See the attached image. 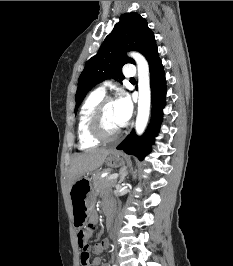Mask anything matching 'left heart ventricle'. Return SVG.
<instances>
[{"instance_id":"b2bd125f","label":"left heart ventricle","mask_w":233,"mask_h":266,"mask_svg":"<svg viewBox=\"0 0 233 266\" xmlns=\"http://www.w3.org/2000/svg\"><path fill=\"white\" fill-rule=\"evenodd\" d=\"M103 127L107 133H113L120 128L117 121L115 101L107 104L103 114Z\"/></svg>"}]
</instances>
